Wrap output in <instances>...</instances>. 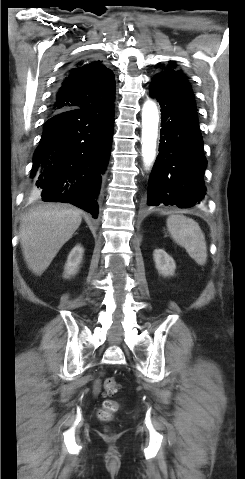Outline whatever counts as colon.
Returning <instances> with one entry per match:
<instances>
[{
	"label": "colon",
	"instance_id": "obj_1",
	"mask_svg": "<svg viewBox=\"0 0 245 479\" xmlns=\"http://www.w3.org/2000/svg\"><path fill=\"white\" fill-rule=\"evenodd\" d=\"M119 384L113 378H106L103 382V389L106 394H115L119 391ZM119 409V404L113 400H106L100 410L99 416L103 420H107Z\"/></svg>",
	"mask_w": 245,
	"mask_h": 479
}]
</instances>
